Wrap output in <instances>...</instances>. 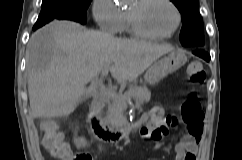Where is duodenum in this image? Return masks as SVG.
Here are the masks:
<instances>
[{
  "mask_svg": "<svg viewBox=\"0 0 242 160\" xmlns=\"http://www.w3.org/2000/svg\"><path fill=\"white\" fill-rule=\"evenodd\" d=\"M102 108V102L96 99L90 104L88 109V120L91 129L95 138L102 142L115 143L122 140L135 129L139 128L140 123L143 121L125 125L120 129H113L101 118Z\"/></svg>",
  "mask_w": 242,
  "mask_h": 160,
  "instance_id": "duodenum-1",
  "label": "duodenum"
}]
</instances>
